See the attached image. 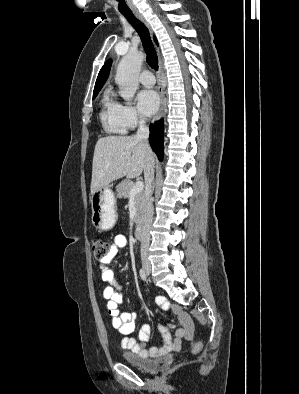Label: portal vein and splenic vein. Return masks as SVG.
Wrapping results in <instances>:
<instances>
[{"instance_id": "18ae733b", "label": "portal vein and splenic vein", "mask_w": 299, "mask_h": 394, "mask_svg": "<svg viewBox=\"0 0 299 394\" xmlns=\"http://www.w3.org/2000/svg\"><path fill=\"white\" fill-rule=\"evenodd\" d=\"M143 188H144L143 182L142 181H137L135 183V185L133 186V188L131 189L130 195L131 196L137 195L138 193H140L143 190Z\"/></svg>"}]
</instances>
